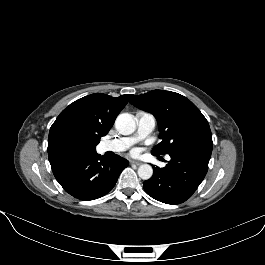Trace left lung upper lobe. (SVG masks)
<instances>
[{"label":"left lung upper lobe","mask_w":265,"mask_h":265,"mask_svg":"<svg viewBox=\"0 0 265 265\" xmlns=\"http://www.w3.org/2000/svg\"><path fill=\"white\" fill-rule=\"evenodd\" d=\"M131 97L132 105L152 113L157 119L159 138L162 141L153 148V155L169 154L191 141L212 137L206 118L189 99L181 94L153 90Z\"/></svg>","instance_id":"5c2ea615"}]
</instances>
